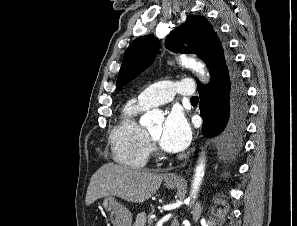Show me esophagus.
I'll return each mask as SVG.
<instances>
[{
	"label": "esophagus",
	"instance_id": "1",
	"mask_svg": "<svg viewBox=\"0 0 297 226\" xmlns=\"http://www.w3.org/2000/svg\"><path fill=\"white\" fill-rule=\"evenodd\" d=\"M167 180L170 181V182H176V181H178V178L175 177V176H171Z\"/></svg>",
	"mask_w": 297,
	"mask_h": 226
}]
</instances>
